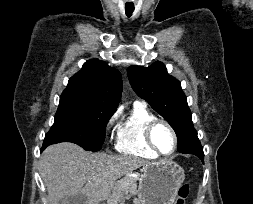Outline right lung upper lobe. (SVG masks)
<instances>
[{
  "instance_id": "1",
  "label": "right lung upper lobe",
  "mask_w": 253,
  "mask_h": 204,
  "mask_svg": "<svg viewBox=\"0 0 253 204\" xmlns=\"http://www.w3.org/2000/svg\"><path fill=\"white\" fill-rule=\"evenodd\" d=\"M122 91V77L118 70L104 61L92 59L69 79L63 93L77 96L88 102L115 112Z\"/></svg>"
}]
</instances>
